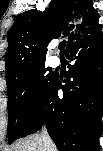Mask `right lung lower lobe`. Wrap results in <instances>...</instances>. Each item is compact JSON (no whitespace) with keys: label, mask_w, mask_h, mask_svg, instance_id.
I'll list each match as a JSON object with an SVG mask.
<instances>
[{"label":"right lung lower lobe","mask_w":103,"mask_h":151,"mask_svg":"<svg viewBox=\"0 0 103 151\" xmlns=\"http://www.w3.org/2000/svg\"><path fill=\"white\" fill-rule=\"evenodd\" d=\"M65 83L55 76L41 106L21 137L46 126L59 151H91L101 132L103 111V35L101 26L68 45ZM63 96L58 95V90ZM20 137V138H21Z\"/></svg>","instance_id":"obj_1"}]
</instances>
